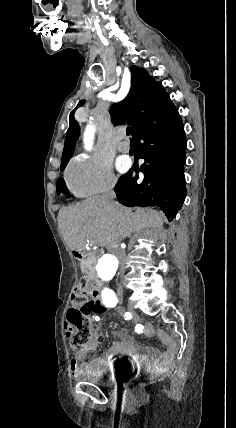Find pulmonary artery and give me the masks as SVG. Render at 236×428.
<instances>
[{
    "mask_svg": "<svg viewBox=\"0 0 236 428\" xmlns=\"http://www.w3.org/2000/svg\"><path fill=\"white\" fill-rule=\"evenodd\" d=\"M117 149L122 153H128L130 151V144L127 141H121L119 142Z\"/></svg>",
    "mask_w": 236,
    "mask_h": 428,
    "instance_id": "obj_1",
    "label": "pulmonary artery"
}]
</instances>
